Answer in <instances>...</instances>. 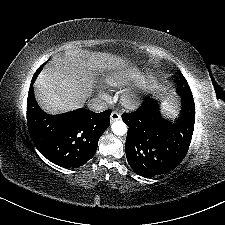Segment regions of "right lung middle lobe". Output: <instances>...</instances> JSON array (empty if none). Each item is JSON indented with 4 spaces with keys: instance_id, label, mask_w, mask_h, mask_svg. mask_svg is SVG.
I'll return each mask as SVG.
<instances>
[{
    "instance_id": "dd1d6c3e",
    "label": "right lung middle lobe",
    "mask_w": 225,
    "mask_h": 225,
    "mask_svg": "<svg viewBox=\"0 0 225 225\" xmlns=\"http://www.w3.org/2000/svg\"><path fill=\"white\" fill-rule=\"evenodd\" d=\"M43 65H44V64H43ZM43 65H42V66L37 70V72L34 74L33 79H32V80H33L32 83L35 81L36 77H37L38 74L40 73V71H41Z\"/></svg>"
}]
</instances>
